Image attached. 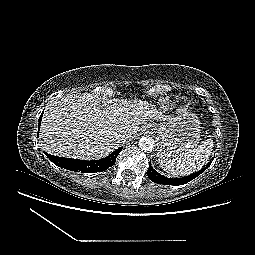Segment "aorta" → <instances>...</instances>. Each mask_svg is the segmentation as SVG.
<instances>
[{
	"label": "aorta",
	"instance_id": "1",
	"mask_svg": "<svg viewBox=\"0 0 255 255\" xmlns=\"http://www.w3.org/2000/svg\"><path fill=\"white\" fill-rule=\"evenodd\" d=\"M138 145L141 150L148 152V151H152L154 149L155 141L153 138H151L149 136H142L139 139Z\"/></svg>",
	"mask_w": 255,
	"mask_h": 255
}]
</instances>
